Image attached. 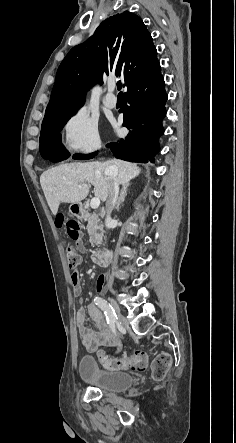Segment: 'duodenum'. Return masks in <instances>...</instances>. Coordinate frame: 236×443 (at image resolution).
<instances>
[{
	"label": "duodenum",
	"instance_id": "duodenum-1",
	"mask_svg": "<svg viewBox=\"0 0 236 443\" xmlns=\"http://www.w3.org/2000/svg\"><path fill=\"white\" fill-rule=\"evenodd\" d=\"M75 213L79 217H83L86 215V209L82 205H76ZM92 261L97 266H107L109 264V258L106 253L101 251H95L92 253Z\"/></svg>",
	"mask_w": 236,
	"mask_h": 443
}]
</instances>
